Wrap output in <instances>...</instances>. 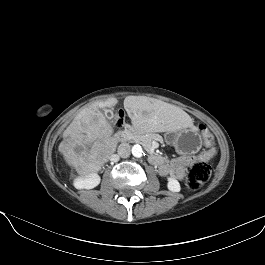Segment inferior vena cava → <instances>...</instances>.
<instances>
[{"mask_svg": "<svg viewBox=\"0 0 265 265\" xmlns=\"http://www.w3.org/2000/svg\"><path fill=\"white\" fill-rule=\"evenodd\" d=\"M130 145L128 143H121L118 146V155L122 158H127L130 155Z\"/></svg>", "mask_w": 265, "mask_h": 265, "instance_id": "602c4592", "label": "inferior vena cava"}]
</instances>
